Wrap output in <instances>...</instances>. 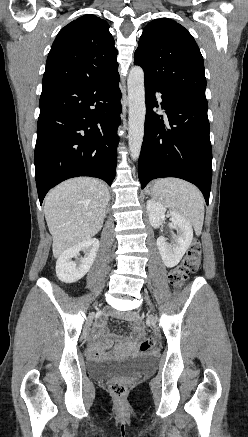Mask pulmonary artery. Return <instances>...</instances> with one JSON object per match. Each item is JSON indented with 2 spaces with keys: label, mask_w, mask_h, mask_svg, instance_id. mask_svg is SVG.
Returning <instances> with one entry per match:
<instances>
[{
  "label": "pulmonary artery",
  "mask_w": 248,
  "mask_h": 437,
  "mask_svg": "<svg viewBox=\"0 0 248 437\" xmlns=\"http://www.w3.org/2000/svg\"><path fill=\"white\" fill-rule=\"evenodd\" d=\"M159 102H162L161 94H157Z\"/></svg>",
  "instance_id": "e3ab8cb5"
}]
</instances>
